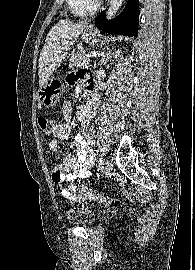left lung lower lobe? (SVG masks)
<instances>
[{
	"label": "left lung lower lobe",
	"mask_w": 195,
	"mask_h": 270,
	"mask_svg": "<svg viewBox=\"0 0 195 270\" xmlns=\"http://www.w3.org/2000/svg\"><path fill=\"white\" fill-rule=\"evenodd\" d=\"M139 21V0H128L124 10L115 19L107 21L105 12L95 20L96 26L104 32L124 36H137Z\"/></svg>",
	"instance_id": "obj_1"
}]
</instances>
